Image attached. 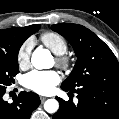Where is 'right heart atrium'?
Instances as JSON below:
<instances>
[{
	"label": "right heart atrium",
	"instance_id": "right-heart-atrium-1",
	"mask_svg": "<svg viewBox=\"0 0 119 119\" xmlns=\"http://www.w3.org/2000/svg\"><path fill=\"white\" fill-rule=\"evenodd\" d=\"M32 46V40L28 39L19 48L17 52V61L20 67H25L29 64Z\"/></svg>",
	"mask_w": 119,
	"mask_h": 119
}]
</instances>
